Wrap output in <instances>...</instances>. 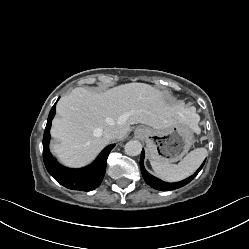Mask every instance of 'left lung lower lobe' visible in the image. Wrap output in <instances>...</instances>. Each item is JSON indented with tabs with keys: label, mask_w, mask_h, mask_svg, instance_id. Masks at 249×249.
Masks as SVG:
<instances>
[{
	"label": "left lung lower lobe",
	"mask_w": 249,
	"mask_h": 249,
	"mask_svg": "<svg viewBox=\"0 0 249 249\" xmlns=\"http://www.w3.org/2000/svg\"><path fill=\"white\" fill-rule=\"evenodd\" d=\"M144 155H145L144 150H142L141 158H140V168H141L143 178L148 185H150L154 189L161 190V191L174 190V189H178V188L185 186L186 184L191 182L196 177V175L199 173V171L202 169V167L204 166V163H205V161H204L203 164L200 166V168L195 172V174L190 176L189 178H187L183 181L177 182V183H167V182L161 181L160 179L152 176L151 174H149L146 171V169L144 168V165H143Z\"/></svg>",
	"instance_id": "obj_1"
}]
</instances>
